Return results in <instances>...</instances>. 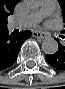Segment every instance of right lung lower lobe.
<instances>
[{
	"mask_svg": "<svg viewBox=\"0 0 65 89\" xmlns=\"http://www.w3.org/2000/svg\"><path fill=\"white\" fill-rule=\"evenodd\" d=\"M29 37H31L30 31L13 36L8 34L6 27H0V70L10 67L15 62L21 44Z\"/></svg>",
	"mask_w": 65,
	"mask_h": 89,
	"instance_id": "98d812e1",
	"label": "right lung lower lobe"
}]
</instances>
